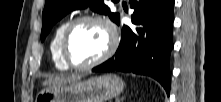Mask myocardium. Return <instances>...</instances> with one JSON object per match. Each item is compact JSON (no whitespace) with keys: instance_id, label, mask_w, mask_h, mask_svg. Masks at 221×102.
<instances>
[{"instance_id":"obj_1","label":"myocardium","mask_w":221,"mask_h":102,"mask_svg":"<svg viewBox=\"0 0 221 102\" xmlns=\"http://www.w3.org/2000/svg\"><path fill=\"white\" fill-rule=\"evenodd\" d=\"M82 22H94L102 25L108 34V45L105 51L97 59L87 64L78 65L70 60L67 53V46L72 30ZM118 43H119L118 32L114 24L110 21V19L100 14H83L73 18L65 28L61 39L60 53L62 60L69 68L75 70H89L108 60L115 52Z\"/></svg>"}]
</instances>
